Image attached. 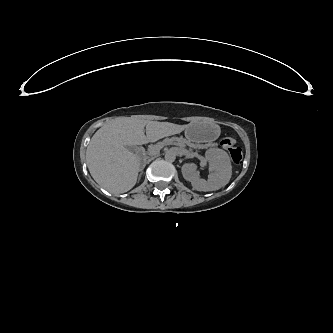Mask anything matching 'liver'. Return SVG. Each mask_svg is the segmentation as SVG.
<instances>
[{"instance_id": "liver-1", "label": "liver", "mask_w": 333, "mask_h": 333, "mask_svg": "<svg viewBox=\"0 0 333 333\" xmlns=\"http://www.w3.org/2000/svg\"><path fill=\"white\" fill-rule=\"evenodd\" d=\"M159 137L150 134L116 137L110 133H98L86 151L91 176L108 191L121 193L130 190L137 181L140 158L126 146L142 145Z\"/></svg>"}]
</instances>
